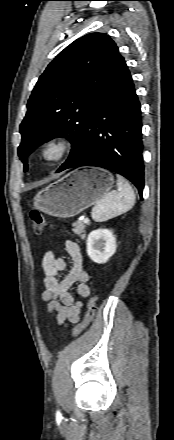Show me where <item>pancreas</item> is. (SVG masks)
<instances>
[{"instance_id": "pancreas-1", "label": "pancreas", "mask_w": 174, "mask_h": 440, "mask_svg": "<svg viewBox=\"0 0 174 440\" xmlns=\"http://www.w3.org/2000/svg\"><path fill=\"white\" fill-rule=\"evenodd\" d=\"M90 225V222L85 223L84 221H78L72 224L73 228V232L78 235L81 239H84L86 234H85V229L86 227Z\"/></svg>"}]
</instances>
